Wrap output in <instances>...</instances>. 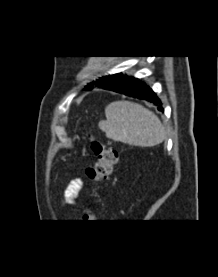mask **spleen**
Returning <instances> with one entry per match:
<instances>
[{
    "label": "spleen",
    "instance_id": "1",
    "mask_svg": "<svg viewBox=\"0 0 218 277\" xmlns=\"http://www.w3.org/2000/svg\"><path fill=\"white\" fill-rule=\"evenodd\" d=\"M106 120L99 128L114 141L141 147L162 143L165 129L160 119L147 108L129 101H115L105 108Z\"/></svg>",
    "mask_w": 218,
    "mask_h": 277
}]
</instances>
